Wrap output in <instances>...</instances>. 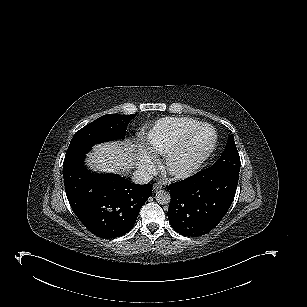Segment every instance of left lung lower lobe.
Returning a JSON list of instances; mask_svg holds the SVG:
<instances>
[{
    "label": "left lung lower lobe",
    "mask_w": 307,
    "mask_h": 307,
    "mask_svg": "<svg viewBox=\"0 0 307 307\" xmlns=\"http://www.w3.org/2000/svg\"><path fill=\"white\" fill-rule=\"evenodd\" d=\"M239 175L207 169L169 185L168 219L179 234L202 236L216 227L233 202Z\"/></svg>",
    "instance_id": "1"
}]
</instances>
